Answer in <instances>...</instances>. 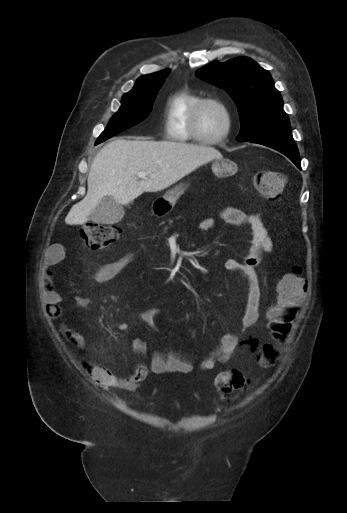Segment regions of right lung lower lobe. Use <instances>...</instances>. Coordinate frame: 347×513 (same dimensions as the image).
<instances>
[{"mask_svg": "<svg viewBox=\"0 0 347 513\" xmlns=\"http://www.w3.org/2000/svg\"><path fill=\"white\" fill-rule=\"evenodd\" d=\"M99 143H100V141H96V143H95V144L97 145V144H99Z\"/></svg>", "mask_w": 347, "mask_h": 513, "instance_id": "1", "label": "right lung lower lobe"}]
</instances>
